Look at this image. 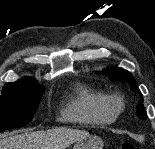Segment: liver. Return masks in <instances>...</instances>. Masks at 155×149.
<instances>
[{
  "label": "liver",
  "instance_id": "1",
  "mask_svg": "<svg viewBox=\"0 0 155 149\" xmlns=\"http://www.w3.org/2000/svg\"><path fill=\"white\" fill-rule=\"evenodd\" d=\"M88 135L87 131L66 127L30 131L1 139L0 149H66Z\"/></svg>",
  "mask_w": 155,
  "mask_h": 149
}]
</instances>
